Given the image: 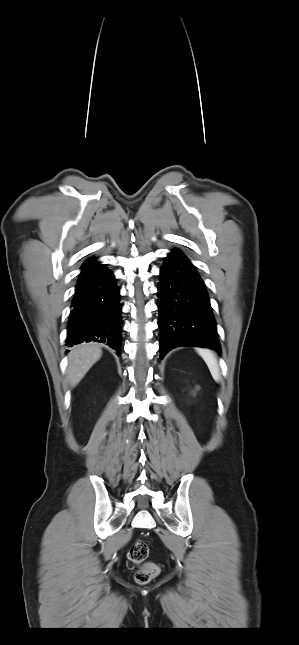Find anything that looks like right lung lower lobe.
I'll use <instances>...</instances> for the list:
<instances>
[{"mask_svg": "<svg viewBox=\"0 0 299 645\" xmlns=\"http://www.w3.org/2000/svg\"><path fill=\"white\" fill-rule=\"evenodd\" d=\"M120 290L113 273L92 259L81 267L67 326V345L100 342L121 354Z\"/></svg>", "mask_w": 299, "mask_h": 645, "instance_id": "1", "label": "right lung lower lobe"}]
</instances>
